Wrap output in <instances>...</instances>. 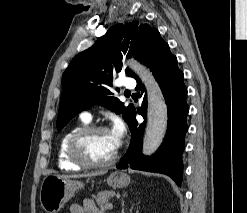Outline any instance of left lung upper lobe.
Here are the masks:
<instances>
[{"mask_svg": "<svg viewBox=\"0 0 247 213\" xmlns=\"http://www.w3.org/2000/svg\"><path fill=\"white\" fill-rule=\"evenodd\" d=\"M123 55L133 56L152 71L154 65L172 54L157 29L147 24L139 25L138 21L114 25L91 48L78 54L65 70L58 130L79 112L96 104L122 113L125 121L130 122L135 108L132 105L125 108L109 89L115 73L122 68ZM126 75L139 80L128 68Z\"/></svg>", "mask_w": 247, "mask_h": 213, "instance_id": "5c2ea615", "label": "left lung upper lobe"}]
</instances>
